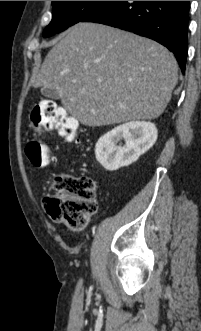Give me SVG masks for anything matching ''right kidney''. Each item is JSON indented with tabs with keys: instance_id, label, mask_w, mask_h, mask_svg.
Wrapping results in <instances>:
<instances>
[{
	"instance_id": "right-kidney-1",
	"label": "right kidney",
	"mask_w": 201,
	"mask_h": 331,
	"mask_svg": "<svg viewBox=\"0 0 201 331\" xmlns=\"http://www.w3.org/2000/svg\"><path fill=\"white\" fill-rule=\"evenodd\" d=\"M158 131L151 122L132 121L115 127L99 138L95 146L97 161L108 171L135 162L156 142ZM124 139V144L120 141Z\"/></svg>"
}]
</instances>
